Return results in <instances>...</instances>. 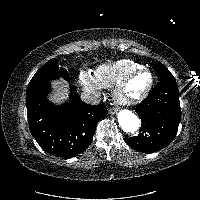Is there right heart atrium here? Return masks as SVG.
Returning a JSON list of instances; mask_svg holds the SVG:
<instances>
[{
    "instance_id": "obj_1",
    "label": "right heart atrium",
    "mask_w": 200,
    "mask_h": 200,
    "mask_svg": "<svg viewBox=\"0 0 200 200\" xmlns=\"http://www.w3.org/2000/svg\"><path fill=\"white\" fill-rule=\"evenodd\" d=\"M78 80L82 88L91 95L99 96L103 91V87L96 81L94 75L88 71H81Z\"/></svg>"
}]
</instances>
